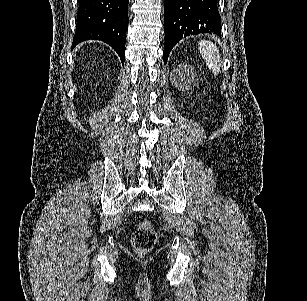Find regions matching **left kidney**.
Instances as JSON below:
<instances>
[{
    "instance_id": "left-kidney-1",
    "label": "left kidney",
    "mask_w": 307,
    "mask_h": 301,
    "mask_svg": "<svg viewBox=\"0 0 307 301\" xmlns=\"http://www.w3.org/2000/svg\"><path fill=\"white\" fill-rule=\"evenodd\" d=\"M174 74H176L178 82L180 84H187V86H192L194 82H196L197 74L194 66H190V64H179L177 68L173 70Z\"/></svg>"
}]
</instances>
